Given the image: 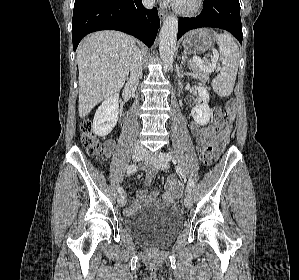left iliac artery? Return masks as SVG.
<instances>
[{
    "instance_id": "1",
    "label": "left iliac artery",
    "mask_w": 299,
    "mask_h": 280,
    "mask_svg": "<svg viewBox=\"0 0 299 280\" xmlns=\"http://www.w3.org/2000/svg\"><path fill=\"white\" fill-rule=\"evenodd\" d=\"M161 156L167 161L174 160V155L171 152L163 153ZM193 186H194V181L192 178H190L188 181V184H187L188 192H190L192 190Z\"/></svg>"
}]
</instances>
